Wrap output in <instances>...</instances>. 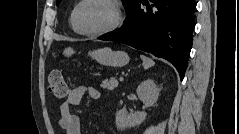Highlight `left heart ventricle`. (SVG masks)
I'll list each match as a JSON object with an SVG mask.
<instances>
[{
  "label": "left heart ventricle",
  "instance_id": "left-heart-ventricle-1",
  "mask_svg": "<svg viewBox=\"0 0 239 134\" xmlns=\"http://www.w3.org/2000/svg\"><path fill=\"white\" fill-rule=\"evenodd\" d=\"M114 20L112 8L100 0L86 2L80 9L79 26L85 31H99L107 28Z\"/></svg>",
  "mask_w": 239,
  "mask_h": 134
}]
</instances>
